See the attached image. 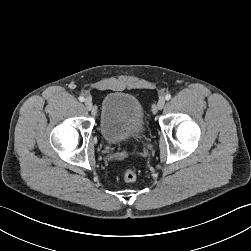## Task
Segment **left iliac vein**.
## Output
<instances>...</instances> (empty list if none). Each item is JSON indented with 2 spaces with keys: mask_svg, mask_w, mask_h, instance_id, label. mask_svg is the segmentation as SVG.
<instances>
[{
  "mask_svg": "<svg viewBox=\"0 0 251 251\" xmlns=\"http://www.w3.org/2000/svg\"><path fill=\"white\" fill-rule=\"evenodd\" d=\"M165 103H166L165 98L163 97L160 98L157 103V109L161 110L165 106Z\"/></svg>",
  "mask_w": 251,
  "mask_h": 251,
  "instance_id": "left-iliac-vein-1",
  "label": "left iliac vein"
}]
</instances>
